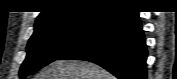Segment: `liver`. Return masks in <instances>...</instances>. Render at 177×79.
Masks as SVG:
<instances>
[{
	"label": "liver",
	"instance_id": "obj_1",
	"mask_svg": "<svg viewBox=\"0 0 177 79\" xmlns=\"http://www.w3.org/2000/svg\"><path fill=\"white\" fill-rule=\"evenodd\" d=\"M35 79H113V76L92 62L57 60L44 67Z\"/></svg>",
	"mask_w": 177,
	"mask_h": 79
}]
</instances>
